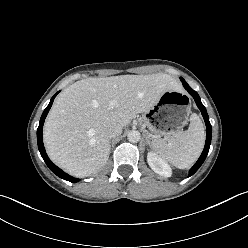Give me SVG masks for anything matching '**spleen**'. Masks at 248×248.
<instances>
[{"mask_svg": "<svg viewBox=\"0 0 248 248\" xmlns=\"http://www.w3.org/2000/svg\"><path fill=\"white\" fill-rule=\"evenodd\" d=\"M205 142L204 126L197 114L190 117L187 131H178L167 140H156L153 150L179 169L191 167L199 158Z\"/></svg>", "mask_w": 248, "mask_h": 248, "instance_id": "1", "label": "spleen"}]
</instances>
